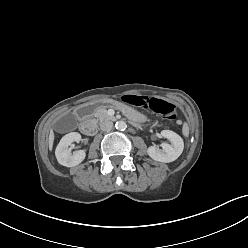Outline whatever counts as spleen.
<instances>
[{
	"instance_id": "3e777b00",
	"label": "spleen",
	"mask_w": 248,
	"mask_h": 248,
	"mask_svg": "<svg viewBox=\"0 0 248 248\" xmlns=\"http://www.w3.org/2000/svg\"><path fill=\"white\" fill-rule=\"evenodd\" d=\"M182 133L185 137H188V135H189V127L186 123L182 127Z\"/></svg>"
}]
</instances>
